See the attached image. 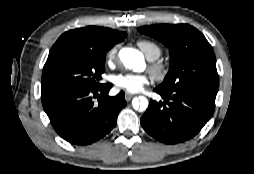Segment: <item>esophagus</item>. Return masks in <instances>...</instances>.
Instances as JSON below:
<instances>
[{"mask_svg":"<svg viewBox=\"0 0 254 174\" xmlns=\"http://www.w3.org/2000/svg\"><path fill=\"white\" fill-rule=\"evenodd\" d=\"M133 97H134L133 94H130V93H126V94H125V99H126V101H130Z\"/></svg>","mask_w":254,"mask_h":174,"instance_id":"obj_1","label":"esophagus"}]
</instances>
